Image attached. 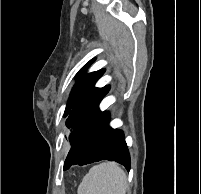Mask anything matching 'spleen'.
I'll return each instance as SVG.
<instances>
[{
	"label": "spleen",
	"mask_w": 201,
	"mask_h": 194,
	"mask_svg": "<svg viewBox=\"0 0 201 194\" xmlns=\"http://www.w3.org/2000/svg\"><path fill=\"white\" fill-rule=\"evenodd\" d=\"M127 177L114 162L92 167L78 187V194H126Z\"/></svg>",
	"instance_id": "3e777b00"
}]
</instances>
